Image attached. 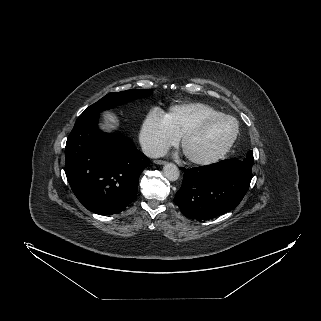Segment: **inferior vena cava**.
Returning a JSON list of instances; mask_svg holds the SVG:
<instances>
[{"label":"inferior vena cava","instance_id":"1","mask_svg":"<svg viewBox=\"0 0 321 321\" xmlns=\"http://www.w3.org/2000/svg\"><path fill=\"white\" fill-rule=\"evenodd\" d=\"M143 153L150 158H159L166 155V151L156 144L143 142L141 144Z\"/></svg>","mask_w":321,"mask_h":321}]
</instances>
